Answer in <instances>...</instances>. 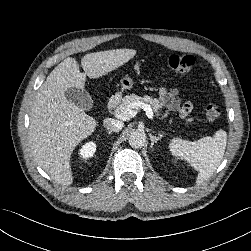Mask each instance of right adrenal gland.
Masks as SVG:
<instances>
[{
    "mask_svg": "<svg viewBox=\"0 0 251 251\" xmlns=\"http://www.w3.org/2000/svg\"><path fill=\"white\" fill-rule=\"evenodd\" d=\"M109 135H111V132L109 131V132H107Z\"/></svg>",
    "mask_w": 251,
    "mask_h": 251,
    "instance_id": "right-adrenal-gland-1",
    "label": "right adrenal gland"
}]
</instances>
